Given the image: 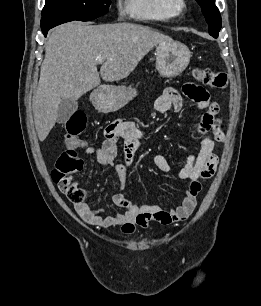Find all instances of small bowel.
I'll return each instance as SVG.
<instances>
[{
    "mask_svg": "<svg viewBox=\"0 0 261 306\" xmlns=\"http://www.w3.org/2000/svg\"><path fill=\"white\" fill-rule=\"evenodd\" d=\"M182 94L193 100L204 113L197 130L200 136V149L187 157L185 165L178 174L180 179L189 181V187L180 205L170 210L158 205H137L118 193L114 195L113 203L123 209V212L107 215L103 208H93L87 202L74 203L76 212L88 224L101 228L120 226L123 233L130 234L137 226L145 228L151 221L169 225L183 221L191 215L201 190L200 180L212 176L217 167L218 160L213 153L215 142L223 143L225 135L217 118L219 107L210 101L209 93L201 86L188 83L183 86L182 93L173 88L166 89L155 101L156 110L161 113L171 109L179 112L183 107ZM143 138V131L132 122L114 121L105 128V140L93 153L99 164L114 167L119 182L123 185ZM119 140H123L124 161L115 163ZM85 145L86 142L83 140H79L77 144L78 147ZM154 163L165 173L171 170L162 154L154 157Z\"/></svg>",
    "mask_w": 261,
    "mask_h": 306,
    "instance_id": "small-bowel-1",
    "label": "small bowel"
}]
</instances>
